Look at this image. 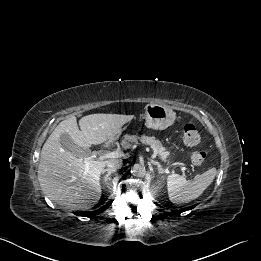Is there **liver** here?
Returning <instances> with one entry per match:
<instances>
[{
    "instance_id": "liver-1",
    "label": "liver",
    "mask_w": 261,
    "mask_h": 261,
    "mask_svg": "<svg viewBox=\"0 0 261 261\" xmlns=\"http://www.w3.org/2000/svg\"><path fill=\"white\" fill-rule=\"evenodd\" d=\"M131 115L91 114L77 124L72 116L60 122L42 147L38 165V179L43 193L52 201L68 209L88 208L101 197L100 175L109 161L88 160L66 151L60 142L68 134L74 143L88 149L112 139L122 126L132 120ZM90 171L85 173V163Z\"/></svg>"
}]
</instances>
